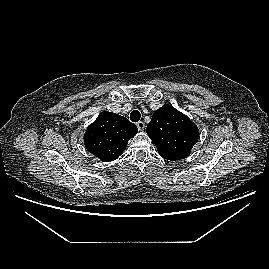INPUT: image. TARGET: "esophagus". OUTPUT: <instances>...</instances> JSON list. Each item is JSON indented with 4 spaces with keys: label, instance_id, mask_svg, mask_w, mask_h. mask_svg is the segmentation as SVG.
Here are the masks:
<instances>
[{
    "label": "esophagus",
    "instance_id": "34e87169",
    "mask_svg": "<svg viewBox=\"0 0 269 269\" xmlns=\"http://www.w3.org/2000/svg\"><path fill=\"white\" fill-rule=\"evenodd\" d=\"M136 125L140 131H143L145 129V123L143 121L137 122Z\"/></svg>",
    "mask_w": 269,
    "mask_h": 269
}]
</instances>
